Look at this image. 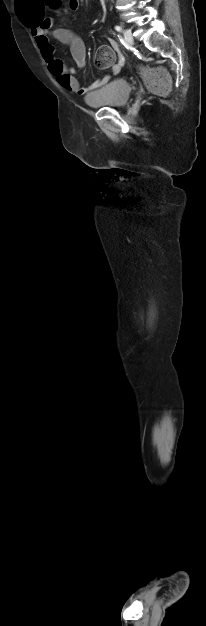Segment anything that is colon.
<instances>
[{
    "label": "colon",
    "mask_w": 206,
    "mask_h": 626,
    "mask_svg": "<svg viewBox=\"0 0 206 626\" xmlns=\"http://www.w3.org/2000/svg\"><path fill=\"white\" fill-rule=\"evenodd\" d=\"M50 5H57L60 0H47ZM26 24H33L29 18ZM115 59V52L111 46L102 45L99 47L95 57V65L99 69L109 68ZM140 74L148 89L157 95L166 94L171 87V80L168 73L163 68L140 67Z\"/></svg>",
    "instance_id": "1"
}]
</instances>
